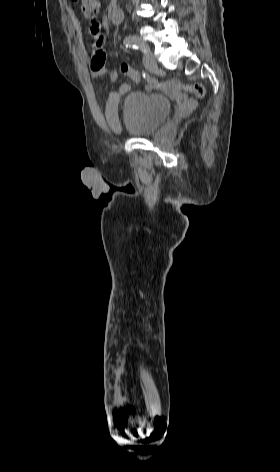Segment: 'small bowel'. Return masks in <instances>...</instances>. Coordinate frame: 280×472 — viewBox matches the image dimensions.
<instances>
[{
  "instance_id": "1",
  "label": "small bowel",
  "mask_w": 280,
  "mask_h": 472,
  "mask_svg": "<svg viewBox=\"0 0 280 472\" xmlns=\"http://www.w3.org/2000/svg\"><path fill=\"white\" fill-rule=\"evenodd\" d=\"M89 34L92 38V56L89 63L91 75L93 77H97L106 73H110L111 79L115 80L117 77L116 71L109 69L107 65L106 53L104 50V35L100 24L96 21L91 22ZM127 90L128 85L124 84L118 91L111 92L108 97L105 115L111 126H115L117 123L120 97L125 95Z\"/></svg>"
}]
</instances>
